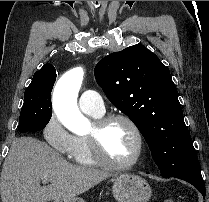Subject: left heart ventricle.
I'll list each match as a JSON object with an SVG mask.
<instances>
[{"instance_id": "obj_1", "label": "left heart ventricle", "mask_w": 209, "mask_h": 202, "mask_svg": "<svg viewBox=\"0 0 209 202\" xmlns=\"http://www.w3.org/2000/svg\"><path fill=\"white\" fill-rule=\"evenodd\" d=\"M102 145L111 160L118 163H128L135 156L137 138L127 123L115 121L105 130L102 136Z\"/></svg>"}]
</instances>
